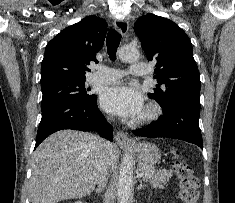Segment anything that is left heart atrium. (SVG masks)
Wrapping results in <instances>:
<instances>
[{"label":"left heart atrium","instance_id":"39dd6f15","mask_svg":"<svg viewBox=\"0 0 235 203\" xmlns=\"http://www.w3.org/2000/svg\"><path fill=\"white\" fill-rule=\"evenodd\" d=\"M102 108L122 118H138L143 112V99L133 87L118 85L106 88L100 98Z\"/></svg>","mask_w":235,"mask_h":203}]
</instances>
